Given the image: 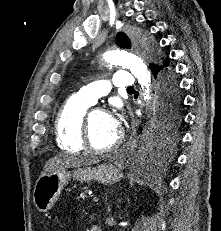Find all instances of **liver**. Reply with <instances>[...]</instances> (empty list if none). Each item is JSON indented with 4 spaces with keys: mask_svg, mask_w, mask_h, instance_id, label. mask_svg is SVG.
Masks as SVG:
<instances>
[{
    "mask_svg": "<svg viewBox=\"0 0 221 231\" xmlns=\"http://www.w3.org/2000/svg\"><path fill=\"white\" fill-rule=\"evenodd\" d=\"M96 160L87 159L80 156H73V155H58L50 160L45 164L44 170L41 175L45 173H51L58 169H65L70 167H80L83 165H91L96 163Z\"/></svg>",
    "mask_w": 221,
    "mask_h": 231,
    "instance_id": "6515ba94",
    "label": "liver"
}]
</instances>
